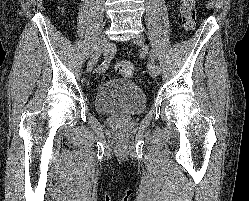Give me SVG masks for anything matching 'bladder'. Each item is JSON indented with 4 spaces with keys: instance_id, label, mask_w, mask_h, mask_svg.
<instances>
[{
    "instance_id": "bladder-1",
    "label": "bladder",
    "mask_w": 249,
    "mask_h": 201,
    "mask_svg": "<svg viewBox=\"0 0 249 201\" xmlns=\"http://www.w3.org/2000/svg\"><path fill=\"white\" fill-rule=\"evenodd\" d=\"M147 99L143 90L129 80H109L96 91L94 106L101 114L136 115L143 112Z\"/></svg>"
}]
</instances>
